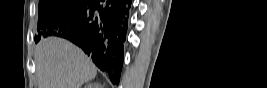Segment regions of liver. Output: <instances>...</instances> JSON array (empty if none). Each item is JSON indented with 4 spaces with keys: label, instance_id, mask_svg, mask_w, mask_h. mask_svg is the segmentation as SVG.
Returning <instances> with one entry per match:
<instances>
[{
    "label": "liver",
    "instance_id": "6515ba94",
    "mask_svg": "<svg viewBox=\"0 0 267 88\" xmlns=\"http://www.w3.org/2000/svg\"><path fill=\"white\" fill-rule=\"evenodd\" d=\"M34 61L38 88H80L97 74L80 48L58 37L41 40L35 47Z\"/></svg>",
    "mask_w": 267,
    "mask_h": 88
}]
</instances>
